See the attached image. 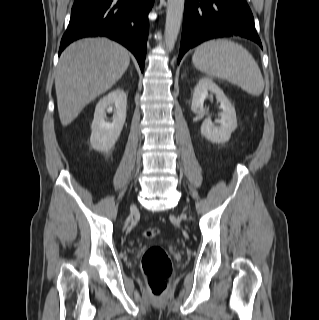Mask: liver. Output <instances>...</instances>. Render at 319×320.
Instances as JSON below:
<instances>
[{
	"mask_svg": "<svg viewBox=\"0 0 319 320\" xmlns=\"http://www.w3.org/2000/svg\"><path fill=\"white\" fill-rule=\"evenodd\" d=\"M130 63L128 51L105 37L86 38L61 54L55 88L62 126L69 125L83 108L109 90Z\"/></svg>",
	"mask_w": 319,
	"mask_h": 320,
	"instance_id": "1",
	"label": "liver"
}]
</instances>
